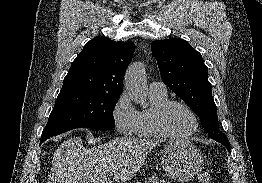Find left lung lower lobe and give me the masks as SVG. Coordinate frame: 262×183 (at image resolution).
Wrapping results in <instances>:
<instances>
[{"label":"left lung lower lobe","instance_id":"left-lung-lower-lobe-1","mask_svg":"<svg viewBox=\"0 0 262 183\" xmlns=\"http://www.w3.org/2000/svg\"><path fill=\"white\" fill-rule=\"evenodd\" d=\"M218 142L223 144L228 149V151L230 152V144H229L228 139H226V140H219Z\"/></svg>","mask_w":262,"mask_h":183}]
</instances>
